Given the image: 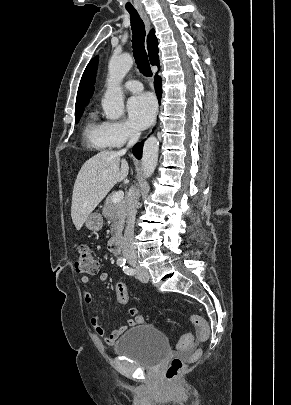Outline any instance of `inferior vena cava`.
I'll list each match as a JSON object with an SVG mask.
<instances>
[{
    "label": "inferior vena cava",
    "mask_w": 291,
    "mask_h": 405,
    "mask_svg": "<svg viewBox=\"0 0 291 405\" xmlns=\"http://www.w3.org/2000/svg\"><path fill=\"white\" fill-rule=\"evenodd\" d=\"M140 132L131 130L129 134V141L127 148L133 146L139 139ZM127 148L122 149L120 152L125 153ZM139 199V190L132 187L126 198V212L127 221L126 228L122 240V254L129 262L135 263L137 260V252L133 244L135 217L137 213Z\"/></svg>",
    "instance_id": "obj_1"
}]
</instances>
